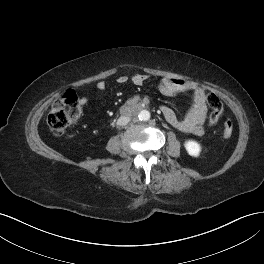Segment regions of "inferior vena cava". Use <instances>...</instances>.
Returning <instances> with one entry per match:
<instances>
[{"instance_id": "obj_1", "label": "inferior vena cava", "mask_w": 264, "mask_h": 264, "mask_svg": "<svg viewBox=\"0 0 264 264\" xmlns=\"http://www.w3.org/2000/svg\"><path fill=\"white\" fill-rule=\"evenodd\" d=\"M130 117L127 116H121L118 121H117V125L119 126H125L126 124H128V122L130 121Z\"/></svg>"}]
</instances>
